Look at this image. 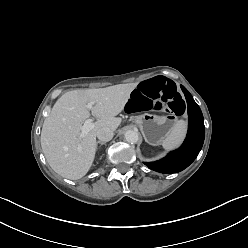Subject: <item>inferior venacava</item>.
I'll list each match as a JSON object with an SVG mask.
<instances>
[{"mask_svg": "<svg viewBox=\"0 0 248 248\" xmlns=\"http://www.w3.org/2000/svg\"><path fill=\"white\" fill-rule=\"evenodd\" d=\"M97 138L102 142L110 141L114 136V131L109 127H103L97 131Z\"/></svg>", "mask_w": 248, "mask_h": 248, "instance_id": "602c4592", "label": "inferior vena cava"}]
</instances>
